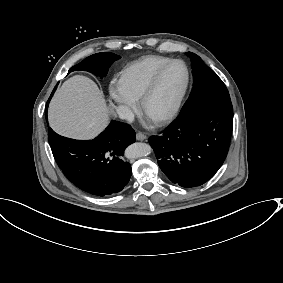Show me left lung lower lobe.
<instances>
[{
  "label": "left lung lower lobe",
  "mask_w": 283,
  "mask_h": 283,
  "mask_svg": "<svg viewBox=\"0 0 283 283\" xmlns=\"http://www.w3.org/2000/svg\"><path fill=\"white\" fill-rule=\"evenodd\" d=\"M232 127L230 99L210 100L179 114L161 135L151 136L149 143L169 180L190 188L207 182L221 167Z\"/></svg>",
  "instance_id": "left-lung-lower-lobe-1"
}]
</instances>
